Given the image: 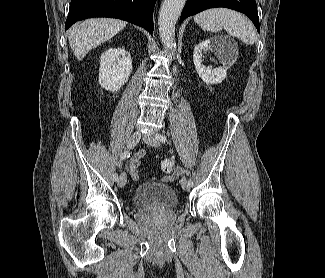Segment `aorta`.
Here are the masks:
<instances>
[{"instance_id":"obj_1","label":"aorta","mask_w":325,"mask_h":278,"mask_svg":"<svg viewBox=\"0 0 325 278\" xmlns=\"http://www.w3.org/2000/svg\"><path fill=\"white\" fill-rule=\"evenodd\" d=\"M186 0H163L159 11V35L164 47L172 50L175 47V25L184 8Z\"/></svg>"}]
</instances>
